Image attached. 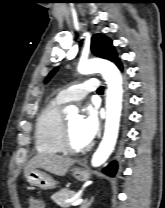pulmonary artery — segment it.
<instances>
[{
  "mask_svg": "<svg viewBox=\"0 0 165 208\" xmlns=\"http://www.w3.org/2000/svg\"><path fill=\"white\" fill-rule=\"evenodd\" d=\"M99 88V80L96 78H90L83 83H79L59 92L57 100L61 103L75 102L83 99L90 92L98 91Z\"/></svg>",
  "mask_w": 165,
  "mask_h": 208,
  "instance_id": "1",
  "label": "pulmonary artery"
}]
</instances>
